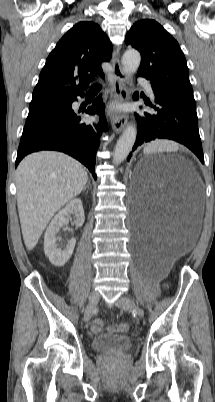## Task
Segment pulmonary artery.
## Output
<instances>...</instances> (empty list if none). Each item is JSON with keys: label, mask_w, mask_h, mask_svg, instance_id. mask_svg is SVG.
<instances>
[{"label": "pulmonary artery", "mask_w": 215, "mask_h": 402, "mask_svg": "<svg viewBox=\"0 0 215 402\" xmlns=\"http://www.w3.org/2000/svg\"><path fill=\"white\" fill-rule=\"evenodd\" d=\"M139 82L145 86V88L147 90V93L150 96H153V90H152V87H151L150 83L146 79H143V78H140Z\"/></svg>", "instance_id": "1"}]
</instances>
